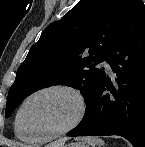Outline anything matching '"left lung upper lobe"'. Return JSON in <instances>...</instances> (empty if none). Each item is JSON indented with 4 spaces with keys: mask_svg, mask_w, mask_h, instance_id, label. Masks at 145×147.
<instances>
[{
    "mask_svg": "<svg viewBox=\"0 0 145 147\" xmlns=\"http://www.w3.org/2000/svg\"><path fill=\"white\" fill-rule=\"evenodd\" d=\"M131 0H80L60 21L48 25L17 70L6 104L9 117L27 96L44 87L79 89L88 106L103 79L106 60Z\"/></svg>",
    "mask_w": 145,
    "mask_h": 147,
    "instance_id": "5c2ea615",
    "label": "left lung upper lobe"
}]
</instances>
